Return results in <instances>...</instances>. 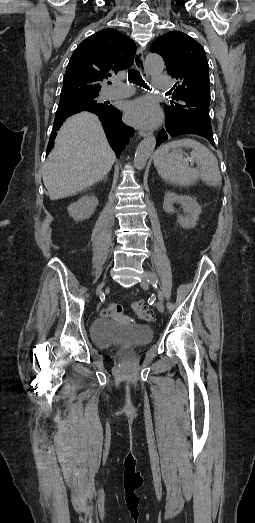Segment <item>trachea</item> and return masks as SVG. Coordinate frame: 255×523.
<instances>
[{
    "instance_id": "1",
    "label": "trachea",
    "mask_w": 255,
    "mask_h": 523,
    "mask_svg": "<svg viewBox=\"0 0 255 523\" xmlns=\"http://www.w3.org/2000/svg\"><path fill=\"white\" fill-rule=\"evenodd\" d=\"M128 80L130 83H135L136 85H139L143 88H147V90H150L149 86L142 79L139 71L134 70L133 68H131L128 72Z\"/></svg>"
}]
</instances>
